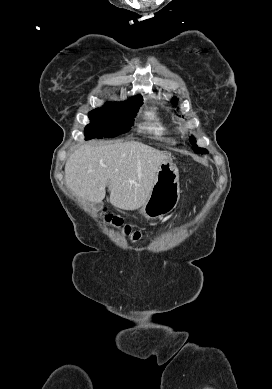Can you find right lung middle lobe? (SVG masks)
<instances>
[{
    "label": "right lung middle lobe",
    "instance_id": "1",
    "mask_svg": "<svg viewBox=\"0 0 272 389\" xmlns=\"http://www.w3.org/2000/svg\"><path fill=\"white\" fill-rule=\"evenodd\" d=\"M140 104L141 96H135L127 103L108 102L104 107L92 110L90 124L85 127L86 139L116 137L127 132Z\"/></svg>",
    "mask_w": 272,
    "mask_h": 389
}]
</instances>
